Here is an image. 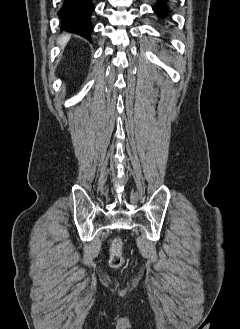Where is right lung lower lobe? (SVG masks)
Instances as JSON below:
<instances>
[{"label":"right lung lower lobe","mask_w":240,"mask_h":329,"mask_svg":"<svg viewBox=\"0 0 240 329\" xmlns=\"http://www.w3.org/2000/svg\"><path fill=\"white\" fill-rule=\"evenodd\" d=\"M94 9L92 0H64L58 12L61 29L72 31L90 40L93 30L91 15Z\"/></svg>","instance_id":"obj_1"}]
</instances>
